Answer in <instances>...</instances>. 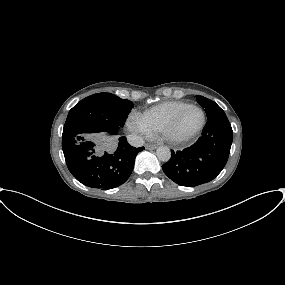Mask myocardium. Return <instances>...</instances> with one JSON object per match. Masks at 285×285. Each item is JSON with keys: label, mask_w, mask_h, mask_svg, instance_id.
I'll return each mask as SVG.
<instances>
[{"label": "myocardium", "mask_w": 285, "mask_h": 285, "mask_svg": "<svg viewBox=\"0 0 285 285\" xmlns=\"http://www.w3.org/2000/svg\"><path fill=\"white\" fill-rule=\"evenodd\" d=\"M190 109H196L201 113V123L198 126V128L186 135H178L176 133V129L179 126L181 120L183 119L184 115L186 114V112ZM205 125V113L203 111L202 108L196 106V105H189L187 107H185L184 109H182L174 118L171 122H169L163 129L162 134L164 136V138L173 144H181V143H185L189 140H191L192 138H194L195 136H197L202 129L204 128Z\"/></svg>", "instance_id": "myocardium-1"}]
</instances>
